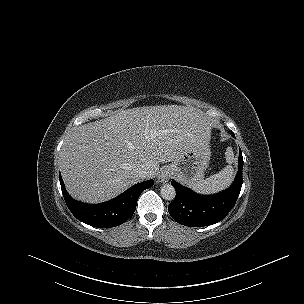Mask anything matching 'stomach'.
Wrapping results in <instances>:
<instances>
[{
  "label": "stomach",
  "mask_w": 304,
  "mask_h": 304,
  "mask_svg": "<svg viewBox=\"0 0 304 304\" xmlns=\"http://www.w3.org/2000/svg\"><path fill=\"white\" fill-rule=\"evenodd\" d=\"M210 161L208 147L194 146L186 150L178 159L172 161L167 169L182 184L194 187L204 178Z\"/></svg>",
  "instance_id": "stomach-1"
}]
</instances>
